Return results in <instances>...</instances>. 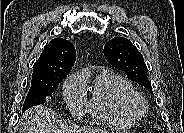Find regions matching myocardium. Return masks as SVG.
<instances>
[{"instance_id": "obj_1", "label": "myocardium", "mask_w": 184, "mask_h": 133, "mask_svg": "<svg viewBox=\"0 0 184 133\" xmlns=\"http://www.w3.org/2000/svg\"><path fill=\"white\" fill-rule=\"evenodd\" d=\"M121 107L127 115L135 120L143 117L148 110L144 97L135 91L128 92L122 96Z\"/></svg>"}]
</instances>
